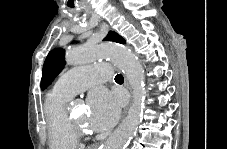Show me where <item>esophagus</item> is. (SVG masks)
Listing matches in <instances>:
<instances>
[{
  "label": "esophagus",
  "instance_id": "34e87169",
  "mask_svg": "<svg viewBox=\"0 0 227 149\" xmlns=\"http://www.w3.org/2000/svg\"><path fill=\"white\" fill-rule=\"evenodd\" d=\"M126 85L130 89L127 81H126ZM128 115H129L128 111H123V113L121 114V119H126V116H128Z\"/></svg>",
  "mask_w": 227,
  "mask_h": 149
}]
</instances>
